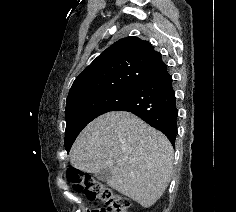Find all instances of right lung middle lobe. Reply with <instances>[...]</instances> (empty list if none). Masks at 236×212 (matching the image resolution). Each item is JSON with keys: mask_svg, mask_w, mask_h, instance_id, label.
Masks as SVG:
<instances>
[{"mask_svg": "<svg viewBox=\"0 0 236 212\" xmlns=\"http://www.w3.org/2000/svg\"><path fill=\"white\" fill-rule=\"evenodd\" d=\"M134 87H124L86 96L66 104L65 148L69 152L82 129L96 117L114 111L132 94Z\"/></svg>", "mask_w": 236, "mask_h": 212, "instance_id": "1", "label": "right lung middle lobe"}]
</instances>
